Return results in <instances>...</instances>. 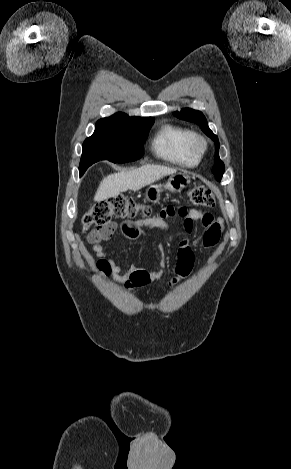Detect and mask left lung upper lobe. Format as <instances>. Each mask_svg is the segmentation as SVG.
Returning <instances> with one entry per match:
<instances>
[{
  "instance_id": "1",
  "label": "left lung upper lobe",
  "mask_w": 291,
  "mask_h": 469,
  "mask_svg": "<svg viewBox=\"0 0 291 469\" xmlns=\"http://www.w3.org/2000/svg\"><path fill=\"white\" fill-rule=\"evenodd\" d=\"M174 115L177 116L179 119L187 120L193 123H196L200 126L202 131L209 136L214 142L216 146V156H215V164L213 166L212 172L215 175L217 181H220L222 175L224 173V163L219 158V140L218 137L210 130L207 124V120L205 116L198 110L184 108L180 112H174Z\"/></svg>"
}]
</instances>
